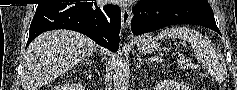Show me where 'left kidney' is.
Wrapping results in <instances>:
<instances>
[{
    "mask_svg": "<svg viewBox=\"0 0 237 90\" xmlns=\"http://www.w3.org/2000/svg\"><path fill=\"white\" fill-rule=\"evenodd\" d=\"M156 90H187V88L176 80H162V82H158Z\"/></svg>",
    "mask_w": 237,
    "mask_h": 90,
    "instance_id": "left-kidney-1",
    "label": "left kidney"
}]
</instances>
